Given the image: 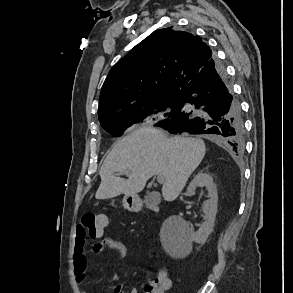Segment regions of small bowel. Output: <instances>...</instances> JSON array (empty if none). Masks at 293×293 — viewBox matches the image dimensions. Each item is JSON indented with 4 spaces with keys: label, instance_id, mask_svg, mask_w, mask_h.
<instances>
[{
    "label": "small bowel",
    "instance_id": "1",
    "mask_svg": "<svg viewBox=\"0 0 293 293\" xmlns=\"http://www.w3.org/2000/svg\"><path fill=\"white\" fill-rule=\"evenodd\" d=\"M86 236L81 227L76 230L75 242H74V253H73V270L81 282L85 279L89 255H98L106 250L116 251L121 258L127 255V246L114 238L102 236L96 240L90 249L86 248ZM171 287V280L168 278L167 290ZM113 293H140L137 288L127 289L124 282L116 283L111 286ZM92 291H83L82 293H91Z\"/></svg>",
    "mask_w": 293,
    "mask_h": 293
}]
</instances>
